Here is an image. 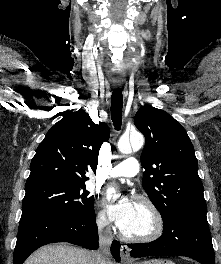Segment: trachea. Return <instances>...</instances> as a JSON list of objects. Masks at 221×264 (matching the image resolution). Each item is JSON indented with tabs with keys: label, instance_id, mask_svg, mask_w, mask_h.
Here are the masks:
<instances>
[{
	"label": "trachea",
	"instance_id": "obj_1",
	"mask_svg": "<svg viewBox=\"0 0 221 264\" xmlns=\"http://www.w3.org/2000/svg\"><path fill=\"white\" fill-rule=\"evenodd\" d=\"M123 95L119 89L113 91L111 96V118L117 131L121 128L122 123Z\"/></svg>",
	"mask_w": 221,
	"mask_h": 264
}]
</instances>
